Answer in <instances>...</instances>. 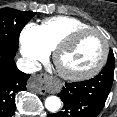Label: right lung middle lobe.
<instances>
[{
  "label": "right lung middle lobe",
  "mask_w": 117,
  "mask_h": 117,
  "mask_svg": "<svg viewBox=\"0 0 117 117\" xmlns=\"http://www.w3.org/2000/svg\"><path fill=\"white\" fill-rule=\"evenodd\" d=\"M35 14L12 8L0 9V49L15 55L20 32Z\"/></svg>",
  "instance_id": "1"
}]
</instances>
